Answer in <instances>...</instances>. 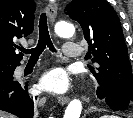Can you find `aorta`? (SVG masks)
<instances>
[{
    "instance_id": "762f6f07",
    "label": "aorta",
    "mask_w": 133,
    "mask_h": 118,
    "mask_svg": "<svg viewBox=\"0 0 133 118\" xmlns=\"http://www.w3.org/2000/svg\"><path fill=\"white\" fill-rule=\"evenodd\" d=\"M55 32L60 37L69 38L74 35L75 28L72 24L68 22H58L55 26ZM81 111V101L78 99H74L68 104L63 118H80Z\"/></svg>"
}]
</instances>
